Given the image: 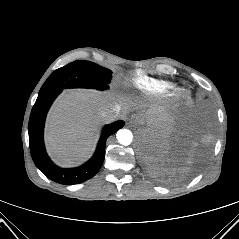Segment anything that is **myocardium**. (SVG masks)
<instances>
[{
	"instance_id": "f54148a6",
	"label": "myocardium",
	"mask_w": 239,
	"mask_h": 239,
	"mask_svg": "<svg viewBox=\"0 0 239 239\" xmlns=\"http://www.w3.org/2000/svg\"><path fill=\"white\" fill-rule=\"evenodd\" d=\"M180 92H181V89H176L175 92H174V94L177 95V94H179Z\"/></svg>"
}]
</instances>
